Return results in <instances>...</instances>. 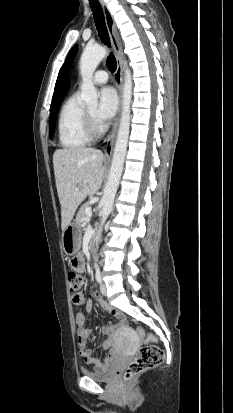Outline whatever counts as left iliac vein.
Listing matches in <instances>:
<instances>
[{"mask_svg":"<svg viewBox=\"0 0 233 413\" xmlns=\"http://www.w3.org/2000/svg\"><path fill=\"white\" fill-rule=\"evenodd\" d=\"M100 291H101V293H102L104 296L107 295V288H106V286H105L104 283H101V284H100Z\"/></svg>","mask_w":233,"mask_h":413,"instance_id":"obj_1","label":"left iliac vein"}]
</instances>
